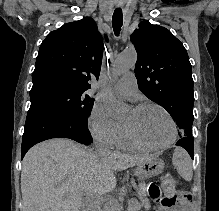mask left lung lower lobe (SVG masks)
<instances>
[{"instance_id": "1", "label": "left lung lower lobe", "mask_w": 219, "mask_h": 211, "mask_svg": "<svg viewBox=\"0 0 219 211\" xmlns=\"http://www.w3.org/2000/svg\"><path fill=\"white\" fill-rule=\"evenodd\" d=\"M176 145L181 146L183 148H185L188 153L190 154L191 158H194V139L192 136H187V137H182L177 143Z\"/></svg>"}]
</instances>
